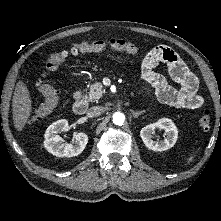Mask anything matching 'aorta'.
Returning <instances> with one entry per match:
<instances>
[{
    "mask_svg": "<svg viewBox=\"0 0 221 221\" xmlns=\"http://www.w3.org/2000/svg\"><path fill=\"white\" fill-rule=\"evenodd\" d=\"M112 117L115 125L122 126L125 122V115L121 112L114 113Z\"/></svg>",
    "mask_w": 221,
    "mask_h": 221,
    "instance_id": "aorta-1",
    "label": "aorta"
}]
</instances>
